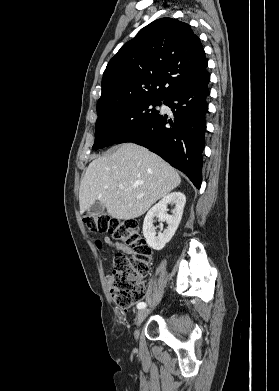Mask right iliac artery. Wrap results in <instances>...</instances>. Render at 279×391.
Here are the masks:
<instances>
[{
  "instance_id": "1",
  "label": "right iliac artery",
  "mask_w": 279,
  "mask_h": 391,
  "mask_svg": "<svg viewBox=\"0 0 279 391\" xmlns=\"http://www.w3.org/2000/svg\"><path fill=\"white\" fill-rule=\"evenodd\" d=\"M146 307V303H144V302H140V303H138V305H137V308L138 309H143V308H145Z\"/></svg>"
}]
</instances>
